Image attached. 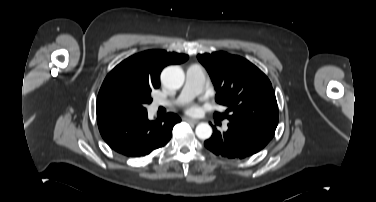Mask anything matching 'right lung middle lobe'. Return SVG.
<instances>
[{"label":"right lung middle lobe","mask_w":376,"mask_h":202,"mask_svg":"<svg viewBox=\"0 0 376 202\" xmlns=\"http://www.w3.org/2000/svg\"><path fill=\"white\" fill-rule=\"evenodd\" d=\"M158 87L127 76L116 77L101 87L97 106L115 115L145 113V106L152 101L151 91Z\"/></svg>","instance_id":"obj_1"}]
</instances>
